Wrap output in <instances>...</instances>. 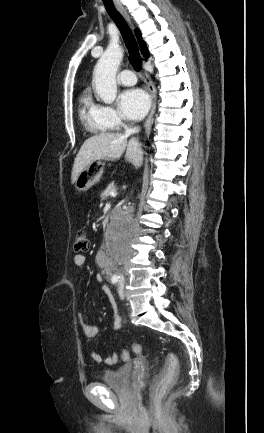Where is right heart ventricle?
<instances>
[{"label": "right heart ventricle", "mask_w": 264, "mask_h": 433, "mask_svg": "<svg viewBox=\"0 0 264 433\" xmlns=\"http://www.w3.org/2000/svg\"><path fill=\"white\" fill-rule=\"evenodd\" d=\"M80 118L84 127L92 134H103L111 129L103 120L99 106L92 101L88 94H84L80 98Z\"/></svg>", "instance_id": "e07e8e85"}]
</instances>
